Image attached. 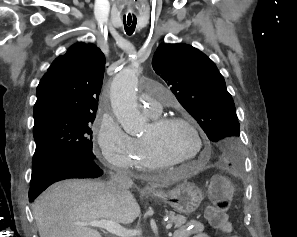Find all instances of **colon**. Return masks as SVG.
Here are the masks:
<instances>
[{
	"mask_svg": "<svg viewBox=\"0 0 297 237\" xmlns=\"http://www.w3.org/2000/svg\"><path fill=\"white\" fill-rule=\"evenodd\" d=\"M212 204L206 210V218L212 228L223 233L232 232V224L228 220L227 211L232 203L233 185L225 175L216 176L210 184ZM231 237H240L232 235Z\"/></svg>",
	"mask_w": 297,
	"mask_h": 237,
	"instance_id": "1",
	"label": "colon"
}]
</instances>
